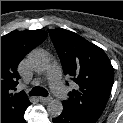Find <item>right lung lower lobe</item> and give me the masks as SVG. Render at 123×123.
<instances>
[{
    "instance_id": "obj_1",
    "label": "right lung lower lobe",
    "mask_w": 123,
    "mask_h": 123,
    "mask_svg": "<svg viewBox=\"0 0 123 123\" xmlns=\"http://www.w3.org/2000/svg\"><path fill=\"white\" fill-rule=\"evenodd\" d=\"M23 115L24 113L15 118H4L1 120V123H26Z\"/></svg>"
}]
</instances>
